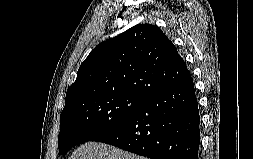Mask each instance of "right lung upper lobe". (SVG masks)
I'll use <instances>...</instances> for the list:
<instances>
[{"instance_id":"1","label":"right lung upper lobe","mask_w":253,"mask_h":159,"mask_svg":"<svg viewBox=\"0 0 253 159\" xmlns=\"http://www.w3.org/2000/svg\"><path fill=\"white\" fill-rule=\"evenodd\" d=\"M190 76L186 63L160 28L138 24L91 51L67 90L65 104L101 92H129L148 98Z\"/></svg>"}]
</instances>
